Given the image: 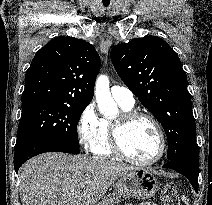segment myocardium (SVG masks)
Segmentation results:
<instances>
[{
	"mask_svg": "<svg viewBox=\"0 0 212 205\" xmlns=\"http://www.w3.org/2000/svg\"><path fill=\"white\" fill-rule=\"evenodd\" d=\"M137 118H145L149 120L154 126L159 139V149L157 154L154 157L145 160H139L129 156L122 145V134L125 127ZM110 145L115 155L129 163L140 166H148L157 163L162 159L166 151V139L161 124L152 114L139 110L123 111L115 120L111 122Z\"/></svg>",
	"mask_w": 212,
	"mask_h": 205,
	"instance_id": "1",
	"label": "myocardium"
}]
</instances>
